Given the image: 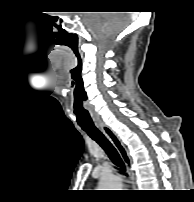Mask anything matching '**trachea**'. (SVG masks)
Listing matches in <instances>:
<instances>
[{
    "label": "trachea",
    "instance_id": "3493384b",
    "mask_svg": "<svg viewBox=\"0 0 194 202\" xmlns=\"http://www.w3.org/2000/svg\"><path fill=\"white\" fill-rule=\"evenodd\" d=\"M81 128L104 149L110 160L118 166L121 171L125 172V165L118 151L103 133L94 125H81Z\"/></svg>",
    "mask_w": 194,
    "mask_h": 202
}]
</instances>
